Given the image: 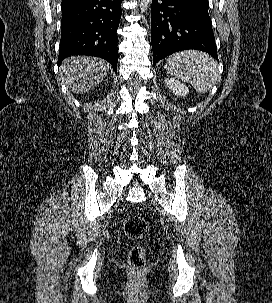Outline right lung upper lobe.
Listing matches in <instances>:
<instances>
[{
    "mask_svg": "<svg viewBox=\"0 0 272 303\" xmlns=\"http://www.w3.org/2000/svg\"><path fill=\"white\" fill-rule=\"evenodd\" d=\"M78 1H80V0H62L61 7H65V6L74 4V3L78 2Z\"/></svg>",
    "mask_w": 272,
    "mask_h": 303,
    "instance_id": "1",
    "label": "right lung upper lobe"
}]
</instances>
